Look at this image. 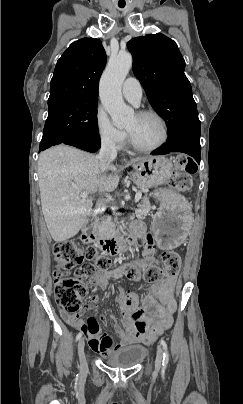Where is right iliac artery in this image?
Wrapping results in <instances>:
<instances>
[{
  "label": "right iliac artery",
  "instance_id": "right-iliac-artery-1",
  "mask_svg": "<svg viewBox=\"0 0 243 404\" xmlns=\"http://www.w3.org/2000/svg\"><path fill=\"white\" fill-rule=\"evenodd\" d=\"M82 337V332H79L76 336V341H78Z\"/></svg>",
  "mask_w": 243,
  "mask_h": 404
}]
</instances>
